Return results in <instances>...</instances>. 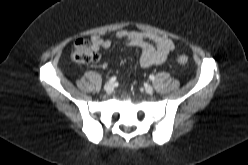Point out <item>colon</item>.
I'll return each instance as SVG.
<instances>
[{"label":"colon","mask_w":248,"mask_h":165,"mask_svg":"<svg viewBox=\"0 0 248 165\" xmlns=\"http://www.w3.org/2000/svg\"><path fill=\"white\" fill-rule=\"evenodd\" d=\"M73 60L78 64H91L99 59V53L93 48L91 43L86 39H79L73 49ZM179 64H186L188 58L185 55H179L177 57Z\"/></svg>","instance_id":"5ec220e1"}]
</instances>
